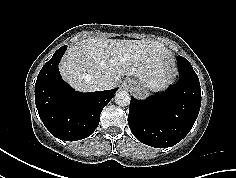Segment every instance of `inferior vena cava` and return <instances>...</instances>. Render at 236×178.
<instances>
[{"label":"inferior vena cava","mask_w":236,"mask_h":178,"mask_svg":"<svg viewBox=\"0 0 236 178\" xmlns=\"http://www.w3.org/2000/svg\"><path fill=\"white\" fill-rule=\"evenodd\" d=\"M94 86L97 90L106 89L108 87V81L105 78H100L94 81Z\"/></svg>","instance_id":"1"}]
</instances>
